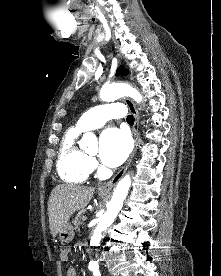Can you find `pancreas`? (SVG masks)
<instances>
[{"instance_id": "pancreas-1", "label": "pancreas", "mask_w": 221, "mask_h": 276, "mask_svg": "<svg viewBox=\"0 0 221 276\" xmlns=\"http://www.w3.org/2000/svg\"><path fill=\"white\" fill-rule=\"evenodd\" d=\"M83 212H84L83 210L79 211L78 214H77V216L75 217V219L73 221V223L75 225V229H78V227H79V225L81 223L80 220L83 217L82 216Z\"/></svg>"}]
</instances>
